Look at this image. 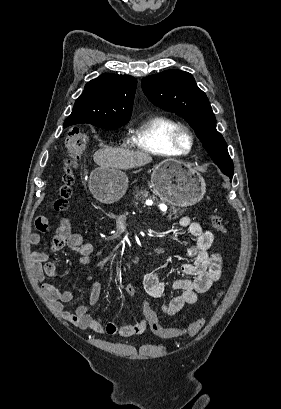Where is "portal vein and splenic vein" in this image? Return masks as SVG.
Returning a JSON list of instances; mask_svg holds the SVG:
<instances>
[{
	"label": "portal vein and splenic vein",
	"instance_id": "18ae733b",
	"mask_svg": "<svg viewBox=\"0 0 281 409\" xmlns=\"http://www.w3.org/2000/svg\"><path fill=\"white\" fill-rule=\"evenodd\" d=\"M165 203H166V201H165ZM166 204H167V203H166ZM138 211H139V212H143V211H144V208H143V207H139V208H138Z\"/></svg>",
	"mask_w": 281,
	"mask_h": 409
}]
</instances>
